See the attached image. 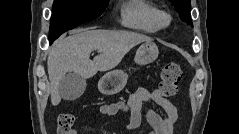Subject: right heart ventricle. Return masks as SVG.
<instances>
[{
	"label": "right heart ventricle",
	"mask_w": 239,
	"mask_h": 134,
	"mask_svg": "<svg viewBox=\"0 0 239 134\" xmlns=\"http://www.w3.org/2000/svg\"><path fill=\"white\" fill-rule=\"evenodd\" d=\"M158 8L150 1L129 0L121 6V24L127 28L155 33L159 30L156 23Z\"/></svg>",
	"instance_id": "1"
}]
</instances>
